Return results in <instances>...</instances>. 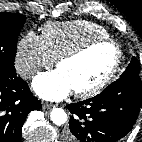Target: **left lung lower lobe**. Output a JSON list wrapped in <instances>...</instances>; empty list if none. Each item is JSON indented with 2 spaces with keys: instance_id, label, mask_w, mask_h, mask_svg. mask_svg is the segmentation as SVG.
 Returning a JSON list of instances; mask_svg holds the SVG:
<instances>
[{
  "instance_id": "left-lung-lower-lobe-1",
  "label": "left lung lower lobe",
  "mask_w": 142,
  "mask_h": 142,
  "mask_svg": "<svg viewBox=\"0 0 142 142\" xmlns=\"http://www.w3.org/2000/svg\"><path fill=\"white\" fill-rule=\"evenodd\" d=\"M142 102L139 75L121 77L100 94L67 106L72 113L66 142H115L132 129Z\"/></svg>"
}]
</instances>
